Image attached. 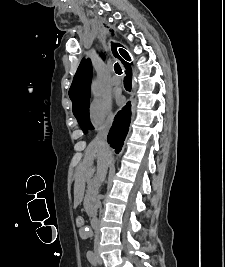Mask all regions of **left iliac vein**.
Instances as JSON below:
<instances>
[{
  "instance_id": "4c4485c4",
  "label": "left iliac vein",
  "mask_w": 225,
  "mask_h": 267,
  "mask_svg": "<svg viewBox=\"0 0 225 267\" xmlns=\"http://www.w3.org/2000/svg\"><path fill=\"white\" fill-rule=\"evenodd\" d=\"M98 263H99V264H102V260H101V258H99V257H98Z\"/></svg>"
}]
</instances>
